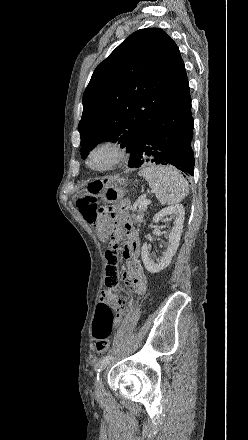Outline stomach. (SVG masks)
I'll return each mask as SVG.
<instances>
[{
	"instance_id": "stomach-1",
	"label": "stomach",
	"mask_w": 248,
	"mask_h": 440,
	"mask_svg": "<svg viewBox=\"0 0 248 440\" xmlns=\"http://www.w3.org/2000/svg\"><path fill=\"white\" fill-rule=\"evenodd\" d=\"M86 191H81L78 193L80 196L82 193ZM125 195V190L122 187H118L117 185H108L104 188L101 193V197L107 203H116L120 201Z\"/></svg>"
}]
</instances>
